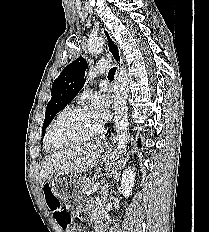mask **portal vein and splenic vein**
I'll return each mask as SVG.
<instances>
[{
	"mask_svg": "<svg viewBox=\"0 0 209 232\" xmlns=\"http://www.w3.org/2000/svg\"><path fill=\"white\" fill-rule=\"evenodd\" d=\"M99 183H96L94 186L90 188V190L86 193L87 196L93 194L98 189Z\"/></svg>",
	"mask_w": 209,
	"mask_h": 232,
	"instance_id": "portal-vein-and-splenic-vein-1",
	"label": "portal vein and splenic vein"
}]
</instances>
